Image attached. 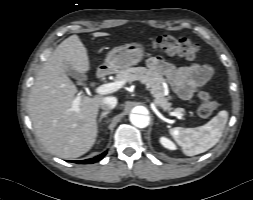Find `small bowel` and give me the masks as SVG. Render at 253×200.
Listing matches in <instances>:
<instances>
[{
  "label": "small bowel",
  "instance_id": "small-bowel-1",
  "mask_svg": "<svg viewBox=\"0 0 253 200\" xmlns=\"http://www.w3.org/2000/svg\"><path fill=\"white\" fill-rule=\"evenodd\" d=\"M147 66L152 70L174 76V83L183 99H189L211 78L212 68L207 64H191L180 68L177 72L173 66L159 57L147 60Z\"/></svg>",
  "mask_w": 253,
  "mask_h": 200
}]
</instances>
